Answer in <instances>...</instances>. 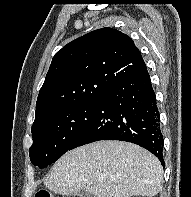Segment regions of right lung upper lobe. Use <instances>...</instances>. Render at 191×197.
Masks as SVG:
<instances>
[{"instance_id":"1","label":"right lung upper lobe","mask_w":191,"mask_h":197,"mask_svg":"<svg viewBox=\"0 0 191 197\" xmlns=\"http://www.w3.org/2000/svg\"><path fill=\"white\" fill-rule=\"evenodd\" d=\"M144 69L139 49L121 31L106 27L75 39L52 59L32 126L66 108L98 101L108 87Z\"/></svg>"}]
</instances>
